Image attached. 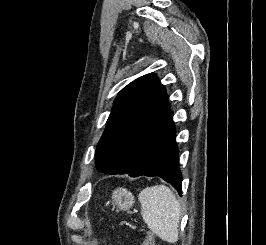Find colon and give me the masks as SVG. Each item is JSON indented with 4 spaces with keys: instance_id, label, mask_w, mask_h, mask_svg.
<instances>
[{
    "instance_id": "5ec220e1",
    "label": "colon",
    "mask_w": 266,
    "mask_h": 245,
    "mask_svg": "<svg viewBox=\"0 0 266 245\" xmlns=\"http://www.w3.org/2000/svg\"><path fill=\"white\" fill-rule=\"evenodd\" d=\"M142 245H155L154 237L151 233H147L143 239Z\"/></svg>"
}]
</instances>
